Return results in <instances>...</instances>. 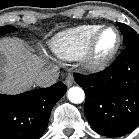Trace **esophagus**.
Returning a JSON list of instances; mask_svg holds the SVG:
<instances>
[{
    "label": "esophagus",
    "mask_w": 139,
    "mask_h": 139,
    "mask_svg": "<svg viewBox=\"0 0 139 139\" xmlns=\"http://www.w3.org/2000/svg\"><path fill=\"white\" fill-rule=\"evenodd\" d=\"M64 82H65L66 86H68V87L72 86L74 84V77H73V75L69 74L66 77Z\"/></svg>",
    "instance_id": "obj_1"
}]
</instances>
